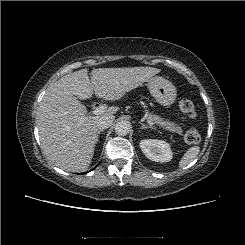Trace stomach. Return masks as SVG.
Returning <instances> with one entry per match:
<instances>
[{"mask_svg":"<svg viewBox=\"0 0 245 245\" xmlns=\"http://www.w3.org/2000/svg\"><path fill=\"white\" fill-rule=\"evenodd\" d=\"M148 88L155 100L164 107H170L176 100L175 86L163 77L151 78L148 82Z\"/></svg>","mask_w":245,"mask_h":245,"instance_id":"0dacf381","label":"stomach"}]
</instances>
